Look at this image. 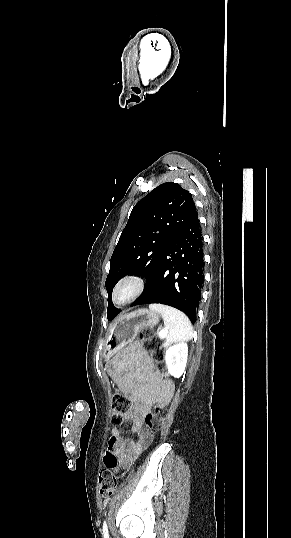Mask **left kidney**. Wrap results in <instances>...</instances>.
<instances>
[{"label": "left kidney", "mask_w": 291, "mask_h": 538, "mask_svg": "<svg viewBox=\"0 0 291 538\" xmlns=\"http://www.w3.org/2000/svg\"><path fill=\"white\" fill-rule=\"evenodd\" d=\"M187 355L188 345L185 342H179L166 349L164 358L170 375L181 377L186 367Z\"/></svg>", "instance_id": "5707ae66"}]
</instances>
